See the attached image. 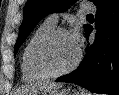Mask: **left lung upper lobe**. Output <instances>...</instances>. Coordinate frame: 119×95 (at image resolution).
I'll return each instance as SVG.
<instances>
[{"label":"left lung upper lobe","instance_id":"5c2ea615","mask_svg":"<svg viewBox=\"0 0 119 95\" xmlns=\"http://www.w3.org/2000/svg\"><path fill=\"white\" fill-rule=\"evenodd\" d=\"M76 1L77 0H28L24 7V19L20 26L19 37L14 47V54L17 53L21 44L41 19L51 13L66 11L69 5ZM90 1L98 5L102 0ZM86 26L87 25L84 27Z\"/></svg>","mask_w":119,"mask_h":95}]
</instances>
